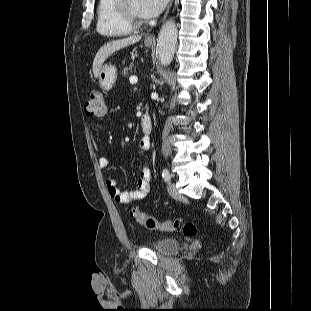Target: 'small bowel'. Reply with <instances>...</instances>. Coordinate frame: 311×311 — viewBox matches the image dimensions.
Here are the masks:
<instances>
[{"instance_id": "1", "label": "small bowel", "mask_w": 311, "mask_h": 311, "mask_svg": "<svg viewBox=\"0 0 311 311\" xmlns=\"http://www.w3.org/2000/svg\"><path fill=\"white\" fill-rule=\"evenodd\" d=\"M150 148V138L143 136L139 141V154H144ZM111 160L105 156L98 158V165L105 169L111 165ZM150 170L144 165L139 173L137 179V190L135 191H121L117 186V181L114 178H107L105 185L110 197L118 203L129 204L133 201L143 199L150 190Z\"/></svg>"}]
</instances>
